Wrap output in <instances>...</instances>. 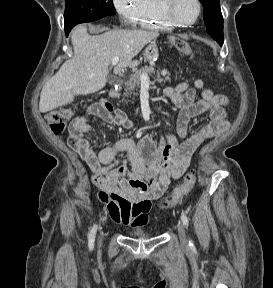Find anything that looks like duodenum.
Listing matches in <instances>:
<instances>
[{"instance_id":"duodenum-1","label":"duodenum","mask_w":273,"mask_h":288,"mask_svg":"<svg viewBox=\"0 0 273 288\" xmlns=\"http://www.w3.org/2000/svg\"><path fill=\"white\" fill-rule=\"evenodd\" d=\"M118 95H119V90L116 89V88H112L111 91H110V96L112 98H116Z\"/></svg>"}]
</instances>
